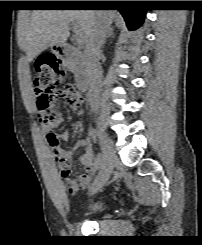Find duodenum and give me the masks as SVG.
<instances>
[{
    "mask_svg": "<svg viewBox=\"0 0 202 245\" xmlns=\"http://www.w3.org/2000/svg\"><path fill=\"white\" fill-rule=\"evenodd\" d=\"M54 53L65 60H71L76 66V88L79 92L90 94L93 87V81L89 75L88 64L83 60V57L78 53L75 47L69 43L58 44L54 47Z\"/></svg>",
    "mask_w": 202,
    "mask_h": 245,
    "instance_id": "1",
    "label": "duodenum"
}]
</instances>
